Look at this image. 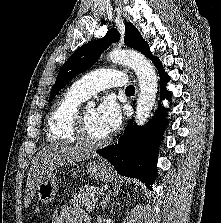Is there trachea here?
I'll return each instance as SVG.
<instances>
[{"instance_id": "1", "label": "trachea", "mask_w": 221, "mask_h": 223, "mask_svg": "<svg viewBox=\"0 0 221 223\" xmlns=\"http://www.w3.org/2000/svg\"><path fill=\"white\" fill-rule=\"evenodd\" d=\"M135 91V87L133 85H129L127 88H126V92L127 93H133Z\"/></svg>"}]
</instances>
